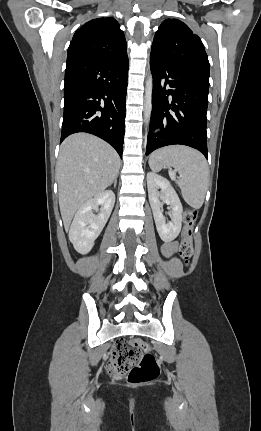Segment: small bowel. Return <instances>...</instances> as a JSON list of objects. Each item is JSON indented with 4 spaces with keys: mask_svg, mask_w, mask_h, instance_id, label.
I'll list each match as a JSON object with an SVG mask.
<instances>
[{
    "mask_svg": "<svg viewBox=\"0 0 261 431\" xmlns=\"http://www.w3.org/2000/svg\"><path fill=\"white\" fill-rule=\"evenodd\" d=\"M176 249H177V242L176 241L165 243L162 246V252H163L164 256H166V257L173 256L174 253L176 252Z\"/></svg>",
    "mask_w": 261,
    "mask_h": 431,
    "instance_id": "obj_1",
    "label": "small bowel"
}]
</instances>
